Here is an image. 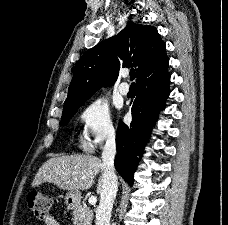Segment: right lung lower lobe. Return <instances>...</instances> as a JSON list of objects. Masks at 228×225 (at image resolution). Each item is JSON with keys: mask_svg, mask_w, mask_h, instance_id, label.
I'll return each mask as SVG.
<instances>
[{"mask_svg": "<svg viewBox=\"0 0 228 225\" xmlns=\"http://www.w3.org/2000/svg\"><path fill=\"white\" fill-rule=\"evenodd\" d=\"M168 56L165 54L142 71L137 80V96L131 103L132 122L129 126L119 123L116 134L117 155L115 168L132 186L138 165L137 155H142L158 113L164 109L169 95L170 75Z\"/></svg>", "mask_w": 228, "mask_h": 225, "instance_id": "obj_1", "label": "right lung lower lobe"}]
</instances>
